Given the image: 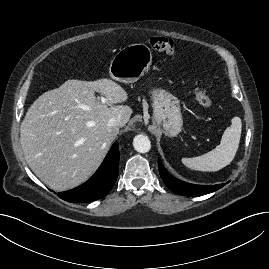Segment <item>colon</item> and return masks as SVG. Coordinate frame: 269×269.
<instances>
[{
    "instance_id": "obj_1",
    "label": "colon",
    "mask_w": 269,
    "mask_h": 269,
    "mask_svg": "<svg viewBox=\"0 0 269 269\" xmlns=\"http://www.w3.org/2000/svg\"><path fill=\"white\" fill-rule=\"evenodd\" d=\"M149 45L157 52L165 53L168 55L175 54V44L172 40L164 37H151L149 39ZM192 92L196 101L204 108L212 107V99L206 93V91L200 86L199 82H194Z\"/></svg>"
}]
</instances>
